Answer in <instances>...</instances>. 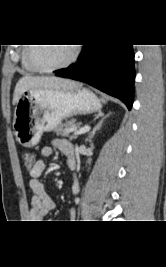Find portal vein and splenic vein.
<instances>
[{
    "mask_svg": "<svg viewBox=\"0 0 166 267\" xmlns=\"http://www.w3.org/2000/svg\"><path fill=\"white\" fill-rule=\"evenodd\" d=\"M90 130V127L89 126H84L82 128H80L79 130H76L74 132L75 135H81V134H84L86 132H88Z\"/></svg>",
    "mask_w": 166,
    "mask_h": 267,
    "instance_id": "18ae733b",
    "label": "portal vein and splenic vein"
}]
</instances>
